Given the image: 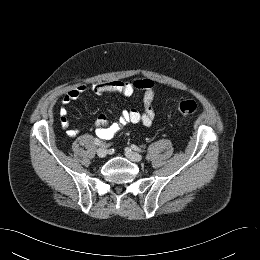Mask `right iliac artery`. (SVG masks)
Here are the masks:
<instances>
[{"label": "right iliac artery", "instance_id": "right-iliac-artery-1", "mask_svg": "<svg viewBox=\"0 0 260 260\" xmlns=\"http://www.w3.org/2000/svg\"><path fill=\"white\" fill-rule=\"evenodd\" d=\"M104 138H105V137H104ZM94 143H95L97 146H101V145L104 146V145L101 143V141H100L99 139H97V138L94 140Z\"/></svg>", "mask_w": 260, "mask_h": 260}]
</instances>
